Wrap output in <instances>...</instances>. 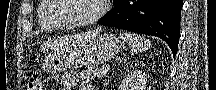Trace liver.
<instances>
[{
    "mask_svg": "<svg viewBox=\"0 0 216 90\" xmlns=\"http://www.w3.org/2000/svg\"><path fill=\"white\" fill-rule=\"evenodd\" d=\"M79 40H83V36H73L71 42H79Z\"/></svg>",
    "mask_w": 216,
    "mask_h": 90,
    "instance_id": "6515ba94",
    "label": "liver"
}]
</instances>
